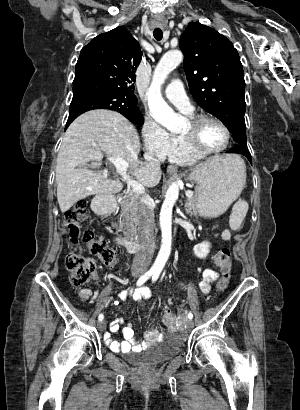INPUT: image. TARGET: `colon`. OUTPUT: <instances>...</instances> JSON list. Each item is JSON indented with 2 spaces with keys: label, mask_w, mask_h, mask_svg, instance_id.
Returning <instances> with one entry per match:
<instances>
[{
  "label": "colon",
  "mask_w": 300,
  "mask_h": 410,
  "mask_svg": "<svg viewBox=\"0 0 300 410\" xmlns=\"http://www.w3.org/2000/svg\"><path fill=\"white\" fill-rule=\"evenodd\" d=\"M87 201L80 200L65 212L64 225L67 228L70 243L77 246L85 244L91 255L97 257L104 265L113 266L117 257L114 248L103 237L97 236L83 222L87 214ZM216 265L222 270V276L217 283V290L223 291L229 283V271L231 267L230 251L228 248H221L215 256ZM66 269L70 284L82 286L88 283L95 274V263L92 259L81 255L78 252H71L66 257ZM164 321L170 326L177 323V318L172 311L164 313Z\"/></svg>",
  "instance_id": "1"
}]
</instances>
